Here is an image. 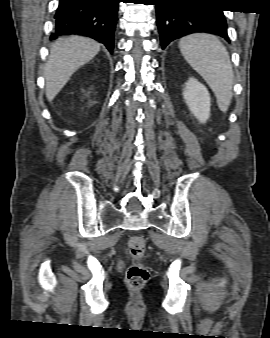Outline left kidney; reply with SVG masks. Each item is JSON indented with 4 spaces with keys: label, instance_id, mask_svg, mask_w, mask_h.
Here are the masks:
<instances>
[{
    "label": "left kidney",
    "instance_id": "1",
    "mask_svg": "<svg viewBox=\"0 0 270 338\" xmlns=\"http://www.w3.org/2000/svg\"><path fill=\"white\" fill-rule=\"evenodd\" d=\"M183 98L192 114L205 123L210 117L211 99L207 88L194 78L185 84Z\"/></svg>",
    "mask_w": 270,
    "mask_h": 338
}]
</instances>
